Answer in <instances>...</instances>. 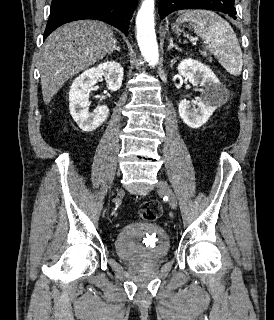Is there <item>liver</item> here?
Returning <instances> with one entry per match:
<instances>
[{"mask_svg":"<svg viewBox=\"0 0 274 320\" xmlns=\"http://www.w3.org/2000/svg\"><path fill=\"white\" fill-rule=\"evenodd\" d=\"M115 42L110 26L98 20L71 22L52 32L39 64L44 104H50L67 80L110 54Z\"/></svg>","mask_w":274,"mask_h":320,"instance_id":"1","label":"liver"}]
</instances>
